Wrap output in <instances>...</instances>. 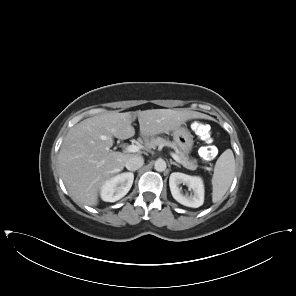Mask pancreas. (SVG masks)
Returning a JSON list of instances; mask_svg holds the SVG:
<instances>
[{
  "label": "pancreas",
  "instance_id": "cf45deb5",
  "mask_svg": "<svg viewBox=\"0 0 296 296\" xmlns=\"http://www.w3.org/2000/svg\"><path fill=\"white\" fill-rule=\"evenodd\" d=\"M145 146L148 148H155L157 146L159 147H171L176 149V144L166 140L164 138L161 137H152L150 139H145ZM177 155L181 160V164L189 169V170H195L197 168V164H196V160H189L188 156L186 154H184L181 150H177Z\"/></svg>",
  "mask_w": 296,
  "mask_h": 296
}]
</instances>
